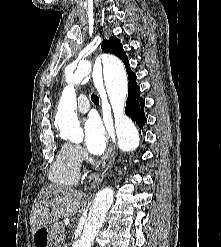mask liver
Returning a JSON list of instances; mask_svg holds the SVG:
<instances>
[{"label": "liver", "instance_id": "liver-1", "mask_svg": "<svg viewBox=\"0 0 221 247\" xmlns=\"http://www.w3.org/2000/svg\"><path fill=\"white\" fill-rule=\"evenodd\" d=\"M83 197L84 193L74 188L58 185L42 188L30 215L32 234L41 227L74 216L81 207Z\"/></svg>", "mask_w": 221, "mask_h": 247}]
</instances>
